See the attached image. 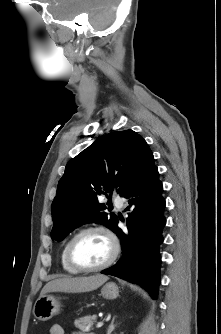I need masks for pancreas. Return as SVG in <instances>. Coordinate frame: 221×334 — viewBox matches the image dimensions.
<instances>
[{
	"label": "pancreas",
	"instance_id": "obj_1",
	"mask_svg": "<svg viewBox=\"0 0 221 334\" xmlns=\"http://www.w3.org/2000/svg\"><path fill=\"white\" fill-rule=\"evenodd\" d=\"M95 319H96V316L87 315L79 319H76L74 321V325L76 328L80 329L81 331L91 330L95 322ZM88 334H93V333H88Z\"/></svg>",
	"mask_w": 221,
	"mask_h": 334
}]
</instances>
